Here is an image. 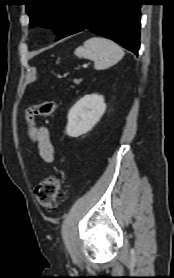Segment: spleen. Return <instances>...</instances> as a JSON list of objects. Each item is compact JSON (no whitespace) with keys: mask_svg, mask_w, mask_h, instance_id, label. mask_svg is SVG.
Wrapping results in <instances>:
<instances>
[{"mask_svg":"<svg viewBox=\"0 0 174 278\" xmlns=\"http://www.w3.org/2000/svg\"><path fill=\"white\" fill-rule=\"evenodd\" d=\"M81 58L94 61L96 70H104L116 64L124 56L123 49L114 41L103 37H92L75 50Z\"/></svg>","mask_w":174,"mask_h":278,"instance_id":"obj_1","label":"spleen"}]
</instances>
